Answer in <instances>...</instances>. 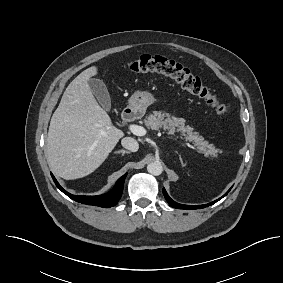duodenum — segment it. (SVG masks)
<instances>
[{
	"instance_id": "obj_1",
	"label": "duodenum",
	"mask_w": 283,
	"mask_h": 283,
	"mask_svg": "<svg viewBox=\"0 0 283 283\" xmlns=\"http://www.w3.org/2000/svg\"><path fill=\"white\" fill-rule=\"evenodd\" d=\"M137 117V109L133 107L127 108L122 114V121L125 123L132 122Z\"/></svg>"
}]
</instances>
